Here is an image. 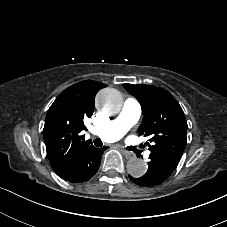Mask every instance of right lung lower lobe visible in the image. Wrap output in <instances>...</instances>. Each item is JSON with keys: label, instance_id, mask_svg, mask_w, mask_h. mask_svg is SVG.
Wrapping results in <instances>:
<instances>
[{"label": "right lung lower lobe", "instance_id": "right-lung-lower-lobe-1", "mask_svg": "<svg viewBox=\"0 0 227 227\" xmlns=\"http://www.w3.org/2000/svg\"><path fill=\"white\" fill-rule=\"evenodd\" d=\"M104 148L87 147L74 157L66 169L57 174L59 177L72 182H85L97 172Z\"/></svg>", "mask_w": 227, "mask_h": 227}]
</instances>
